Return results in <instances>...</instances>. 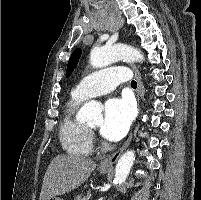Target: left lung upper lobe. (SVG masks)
I'll return each instance as SVG.
<instances>
[{
    "instance_id": "obj_1",
    "label": "left lung upper lobe",
    "mask_w": 201,
    "mask_h": 200,
    "mask_svg": "<svg viewBox=\"0 0 201 200\" xmlns=\"http://www.w3.org/2000/svg\"><path fill=\"white\" fill-rule=\"evenodd\" d=\"M80 56H81V49L80 48L76 49L72 53V55L68 61V65H67V71H66V77L67 78L70 76V74L73 72L74 68L76 67Z\"/></svg>"
}]
</instances>
